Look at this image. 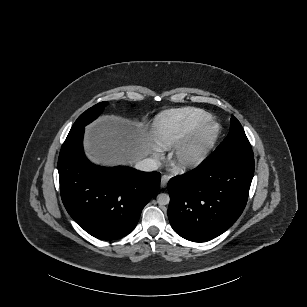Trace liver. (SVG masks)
<instances>
[{
  "mask_svg": "<svg viewBox=\"0 0 307 307\" xmlns=\"http://www.w3.org/2000/svg\"><path fill=\"white\" fill-rule=\"evenodd\" d=\"M147 114L141 119L120 114H102L85 127L82 147L94 166L133 167L156 153Z\"/></svg>",
  "mask_w": 307,
  "mask_h": 307,
  "instance_id": "1",
  "label": "liver"
}]
</instances>
